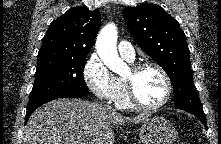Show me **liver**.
<instances>
[{"label": "liver", "instance_id": "6515ba94", "mask_svg": "<svg viewBox=\"0 0 221 144\" xmlns=\"http://www.w3.org/2000/svg\"><path fill=\"white\" fill-rule=\"evenodd\" d=\"M147 119L145 114L123 117L100 103L82 99H56L32 113L23 144H113L112 126Z\"/></svg>", "mask_w": 221, "mask_h": 144}]
</instances>
